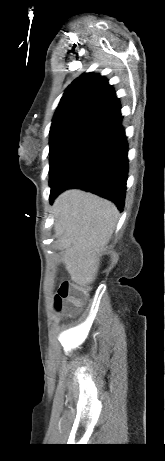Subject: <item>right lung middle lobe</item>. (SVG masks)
Returning a JSON list of instances; mask_svg holds the SVG:
<instances>
[{"mask_svg":"<svg viewBox=\"0 0 165 461\" xmlns=\"http://www.w3.org/2000/svg\"><path fill=\"white\" fill-rule=\"evenodd\" d=\"M102 118L81 115L52 121L50 129V185L83 144L104 124Z\"/></svg>","mask_w":165,"mask_h":461,"instance_id":"1","label":"right lung middle lobe"}]
</instances>
